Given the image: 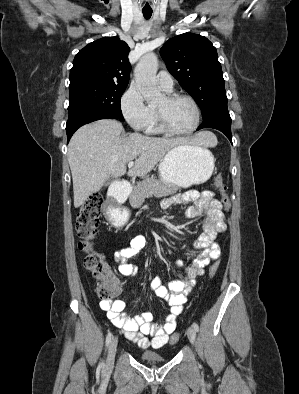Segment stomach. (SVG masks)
Here are the masks:
<instances>
[{
    "instance_id": "obj_1",
    "label": "stomach",
    "mask_w": 299,
    "mask_h": 394,
    "mask_svg": "<svg viewBox=\"0 0 299 394\" xmlns=\"http://www.w3.org/2000/svg\"><path fill=\"white\" fill-rule=\"evenodd\" d=\"M158 170L164 184L186 188L202 184L211 177L214 157L204 147L180 144L166 153Z\"/></svg>"
}]
</instances>
